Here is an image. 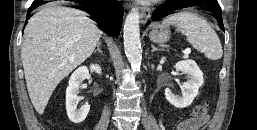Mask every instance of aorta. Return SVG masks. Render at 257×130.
<instances>
[{"instance_id":"aorta-1","label":"aorta","mask_w":257,"mask_h":130,"mask_svg":"<svg viewBox=\"0 0 257 130\" xmlns=\"http://www.w3.org/2000/svg\"><path fill=\"white\" fill-rule=\"evenodd\" d=\"M139 22V11L134 8L126 16L123 28L125 54L134 70L140 69L142 60Z\"/></svg>"}]
</instances>
